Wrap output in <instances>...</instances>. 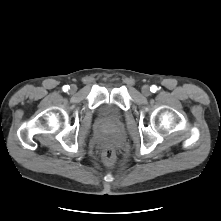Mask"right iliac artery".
Instances as JSON below:
<instances>
[{"label":"right iliac artery","mask_w":221,"mask_h":221,"mask_svg":"<svg viewBox=\"0 0 221 221\" xmlns=\"http://www.w3.org/2000/svg\"><path fill=\"white\" fill-rule=\"evenodd\" d=\"M69 88H70V87H69L68 85H65V86H63L62 89H63L64 92H66V91H68Z\"/></svg>","instance_id":"82829eb1"}]
</instances>
